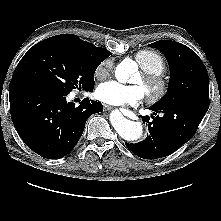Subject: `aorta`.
Segmentation results:
<instances>
[{
  "label": "aorta",
  "instance_id": "aorta-1",
  "mask_svg": "<svg viewBox=\"0 0 221 221\" xmlns=\"http://www.w3.org/2000/svg\"><path fill=\"white\" fill-rule=\"evenodd\" d=\"M130 66L126 62L121 63L115 71L116 79L121 83H126L131 74L136 72L137 65L134 61H129ZM110 121L116 132L127 141H136L142 138L144 127L140 122L126 119L118 110L112 112Z\"/></svg>",
  "mask_w": 221,
  "mask_h": 221
}]
</instances>
